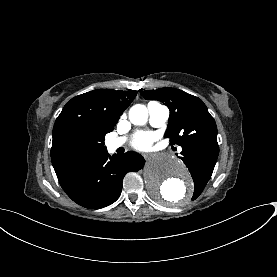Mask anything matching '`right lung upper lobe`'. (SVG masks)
I'll return each mask as SVG.
<instances>
[{
	"mask_svg": "<svg viewBox=\"0 0 277 277\" xmlns=\"http://www.w3.org/2000/svg\"><path fill=\"white\" fill-rule=\"evenodd\" d=\"M136 94L135 90L98 89L72 98L53 127L51 160L55 172L86 159L81 156L84 147L97 151L93 155L105 151V135L114 129Z\"/></svg>",
	"mask_w": 277,
	"mask_h": 277,
	"instance_id": "cb5924a9",
	"label": "right lung upper lobe"
}]
</instances>
